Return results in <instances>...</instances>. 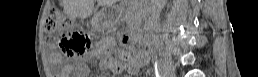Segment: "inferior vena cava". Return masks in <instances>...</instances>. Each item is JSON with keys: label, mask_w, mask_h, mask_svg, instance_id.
I'll return each instance as SVG.
<instances>
[{"label": "inferior vena cava", "mask_w": 258, "mask_h": 77, "mask_svg": "<svg viewBox=\"0 0 258 77\" xmlns=\"http://www.w3.org/2000/svg\"><path fill=\"white\" fill-rule=\"evenodd\" d=\"M155 2H156L157 4L152 7V17H153L154 19H156L157 17H159L160 12H161V9H162V6L158 4V3L161 2V1H160V0H155Z\"/></svg>", "instance_id": "inferior-vena-cava-1"}]
</instances>
